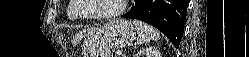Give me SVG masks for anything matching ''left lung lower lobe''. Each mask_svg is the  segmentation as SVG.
Listing matches in <instances>:
<instances>
[{"label":"left lung lower lobe","instance_id":"0a47b994","mask_svg":"<svg viewBox=\"0 0 249 57\" xmlns=\"http://www.w3.org/2000/svg\"><path fill=\"white\" fill-rule=\"evenodd\" d=\"M188 0H135L124 18H133L149 23L179 47L184 32Z\"/></svg>","mask_w":249,"mask_h":57}]
</instances>
